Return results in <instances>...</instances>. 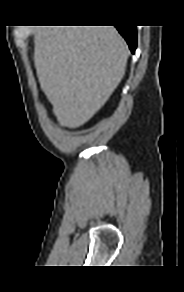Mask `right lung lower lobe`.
Returning a JSON list of instances; mask_svg holds the SVG:
<instances>
[{
    "label": "right lung lower lobe",
    "instance_id": "98d812e1",
    "mask_svg": "<svg viewBox=\"0 0 184 292\" xmlns=\"http://www.w3.org/2000/svg\"><path fill=\"white\" fill-rule=\"evenodd\" d=\"M116 28L127 41L131 52L134 53L137 46V32L135 26H116Z\"/></svg>",
    "mask_w": 184,
    "mask_h": 292
}]
</instances>
